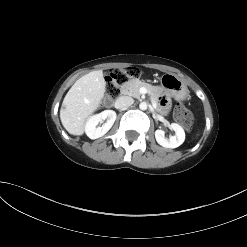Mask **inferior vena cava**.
<instances>
[{"label": "inferior vena cava", "mask_w": 247, "mask_h": 247, "mask_svg": "<svg viewBox=\"0 0 247 247\" xmlns=\"http://www.w3.org/2000/svg\"><path fill=\"white\" fill-rule=\"evenodd\" d=\"M133 103H134V100L132 97L121 96L116 100L115 107L117 109L127 108V107L131 106Z\"/></svg>", "instance_id": "obj_1"}]
</instances>
